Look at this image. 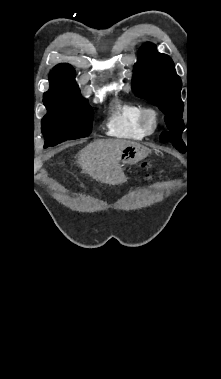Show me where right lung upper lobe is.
<instances>
[{"instance_id":"cb5924a9","label":"right lung upper lobe","mask_w":221,"mask_h":379,"mask_svg":"<svg viewBox=\"0 0 221 379\" xmlns=\"http://www.w3.org/2000/svg\"><path fill=\"white\" fill-rule=\"evenodd\" d=\"M50 89L43 100H77L82 98L75 82V71L69 64H58L49 74Z\"/></svg>"}]
</instances>
